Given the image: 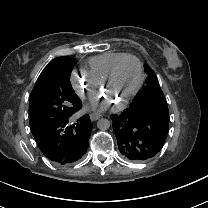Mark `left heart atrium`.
Segmentation results:
<instances>
[{
  "label": "left heart atrium",
  "mask_w": 208,
  "mask_h": 208,
  "mask_svg": "<svg viewBox=\"0 0 208 208\" xmlns=\"http://www.w3.org/2000/svg\"><path fill=\"white\" fill-rule=\"evenodd\" d=\"M106 107V105H100L98 106L97 104H95L94 102L92 103H86L84 105V109L87 111H96V110H102Z\"/></svg>",
  "instance_id": "left-heart-atrium-1"
}]
</instances>
